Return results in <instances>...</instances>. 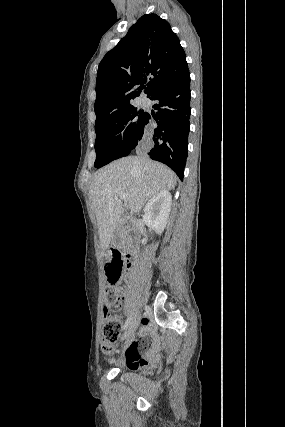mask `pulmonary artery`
Segmentation results:
<instances>
[{
  "label": "pulmonary artery",
  "instance_id": "obj_1",
  "mask_svg": "<svg viewBox=\"0 0 285 427\" xmlns=\"http://www.w3.org/2000/svg\"><path fill=\"white\" fill-rule=\"evenodd\" d=\"M146 101V99H143V102H145Z\"/></svg>",
  "mask_w": 285,
  "mask_h": 427
}]
</instances>
